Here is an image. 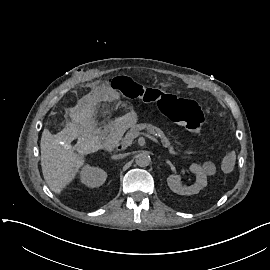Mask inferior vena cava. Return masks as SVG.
Instances as JSON below:
<instances>
[{"label": "inferior vena cava", "mask_w": 270, "mask_h": 270, "mask_svg": "<svg viewBox=\"0 0 270 270\" xmlns=\"http://www.w3.org/2000/svg\"><path fill=\"white\" fill-rule=\"evenodd\" d=\"M127 154H118V155H113L112 156V159H122L124 157H126Z\"/></svg>", "instance_id": "602c4592"}]
</instances>
